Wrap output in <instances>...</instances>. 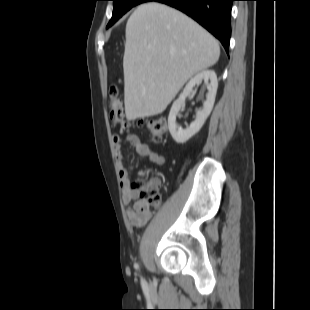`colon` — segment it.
Returning <instances> with one entry per match:
<instances>
[{
  "label": "colon",
  "instance_id": "obj_1",
  "mask_svg": "<svg viewBox=\"0 0 310 310\" xmlns=\"http://www.w3.org/2000/svg\"><path fill=\"white\" fill-rule=\"evenodd\" d=\"M110 96V118L122 130L131 127L132 123L125 117L122 102L118 97V89L116 86H111L109 89ZM139 127H145L150 138L154 141L160 140L167 130V122L164 118H153L147 121L138 123ZM143 173H141V176ZM132 189L136 190L139 197L146 206L156 207L160 204L161 196L158 191L156 182L152 179L140 178L131 183Z\"/></svg>",
  "mask_w": 310,
  "mask_h": 310
}]
</instances>
